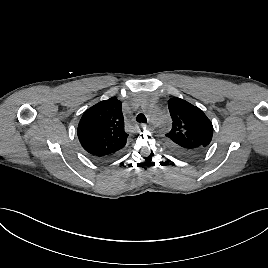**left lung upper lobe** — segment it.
Returning <instances> with one entry per match:
<instances>
[{
  "label": "left lung upper lobe",
  "instance_id": "left-lung-upper-lobe-1",
  "mask_svg": "<svg viewBox=\"0 0 268 268\" xmlns=\"http://www.w3.org/2000/svg\"><path fill=\"white\" fill-rule=\"evenodd\" d=\"M168 107L173 123L171 131L165 134L167 141L184 149L195 145L207 150L213 137V125L204 112L176 97L169 99Z\"/></svg>",
  "mask_w": 268,
  "mask_h": 268
}]
</instances>
